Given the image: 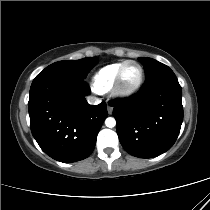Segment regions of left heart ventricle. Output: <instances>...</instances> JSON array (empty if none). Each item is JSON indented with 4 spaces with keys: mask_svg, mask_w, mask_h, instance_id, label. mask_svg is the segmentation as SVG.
<instances>
[{
    "mask_svg": "<svg viewBox=\"0 0 210 210\" xmlns=\"http://www.w3.org/2000/svg\"><path fill=\"white\" fill-rule=\"evenodd\" d=\"M139 67L136 64H128L123 72V84L125 86L133 85L139 78Z\"/></svg>",
    "mask_w": 210,
    "mask_h": 210,
    "instance_id": "left-heart-ventricle-1",
    "label": "left heart ventricle"
}]
</instances>
